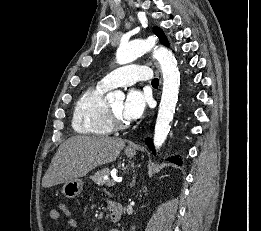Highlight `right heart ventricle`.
Here are the masks:
<instances>
[{"mask_svg":"<svg viewBox=\"0 0 261 231\" xmlns=\"http://www.w3.org/2000/svg\"><path fill=\"white\" fill-rule=\"evenodd\" d=\"M110 88L100 83L85 91L75 103L72 127L81 135L107 136L114 130L108 119L105 93Z\"/></svg>","mask_w":261,"mask_h":231,"instance_id":"e07e8e85","label":"right heart ventricle"}]
</instances>
